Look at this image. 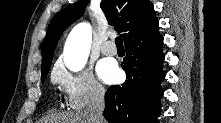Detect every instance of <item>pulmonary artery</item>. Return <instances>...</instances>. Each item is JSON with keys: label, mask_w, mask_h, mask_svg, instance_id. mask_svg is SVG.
Listing matches in <instances>:
<instances>
[{"label": "pulmonary artery", "mask_w": 221, "mask_h": 123, "mask_svg": "<svg viewBox=\"0 0 221 123\" xmlns=\"http://www.w3.org/2000/svg\"><path fill=\"white\" fill-rule=\"evenodd\" d=\"M101 51L105 55H115L117 53V48L114 45L112 41H106L102 46H101Z\"/></svg>", "instance_id": "e3ab8cb5"}]
</instances>
